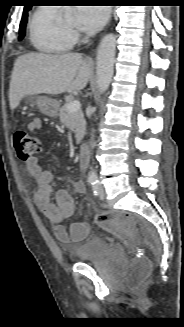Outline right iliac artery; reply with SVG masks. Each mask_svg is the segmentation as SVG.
I'll return each instance as SVG.
<instances>
[{"instance_id":"obj_1","label":"right iliac artery","mask_w":184,"mask_h":327,"mask_svg":"<svg viewBox=\"0 0 184 327\" xmlns=\"http://www.w3.org/2000/svg\"><path fill=\"white\" fill-rule=\"evenodd\" d=\"M96 180L97 179L95 177L91 176V177L88 178V183L92 185V184H94L96 182Z\"/></svg>"}]
</instances>
